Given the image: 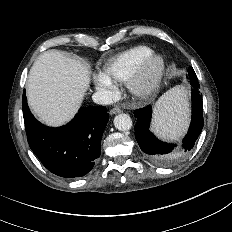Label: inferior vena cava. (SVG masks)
<instances>
[{
    "label": "inferior vena cava",
    "instance_id": "602c4592",
    "mask_svg": "<svg viewBox=\"0 0 232 232\" xmlns=\"http://www.w3.org/2000/svg\"><path fill=\"white\" fill-rule=\"evenodd\" d=\"M92 99L95 103L101 104V105H108L113 102L112 98L106 92H103V91L95 92L92 95Z\"/></svg>",
    "mask_w": 232,
    "mask_h": 232
}]
</instances>
